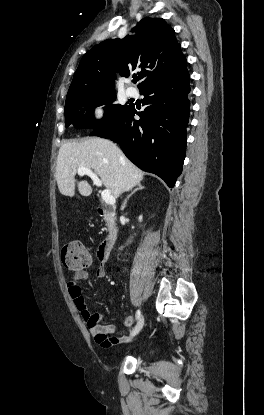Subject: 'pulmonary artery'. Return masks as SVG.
Returning <instances> with one entry per match:
<instances>
[{
    "label": "pulmonary artery",
    "instance_id": "pulmonary-artery-1",
    "mask_svg": "<svg viewBox=\"0 0 264 415\" xmlns=\"http://www.w3.org/2000/svg\"><path fill=\"white\" fill-rule=\"evenodd\" d=\"M127 94L129 96H134V95H136V90L134 88H132V87H128L127 88Z\"/></svg>",
    "mask_w": 264,
    "mask_h": 415
}]
</instances>
